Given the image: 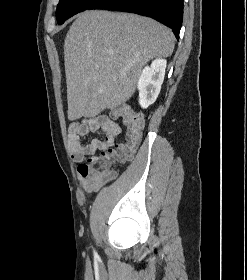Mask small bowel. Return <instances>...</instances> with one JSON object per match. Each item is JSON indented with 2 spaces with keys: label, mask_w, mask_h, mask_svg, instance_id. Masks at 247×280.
I'll return each mask as SVG.
<instances>
[{
  "label": "small bowel",
  "mask_w": 247,
  "mask_h": 280,
  "mask_svg": "<svg viewBox=\"0 0 247 280\" xmlns=\"http://www.w3.org/2000/svg\"><path fill=\"white\" fill-rule=\"evenodd\" d=\"M93 132H100L103 138H93L88 143H84L85 137ZM121 132V126L106 115L74 121L70 124L69 140L73 152L72 158L78 164L79 182L86 192L97 191L115 177L116 173L113 171L111 178L97 179L84 173L82 167L97 150L105 151L114 146Z\"/></svg>",
  "instance_id": "small-bowel-1"
}]
</instances>
